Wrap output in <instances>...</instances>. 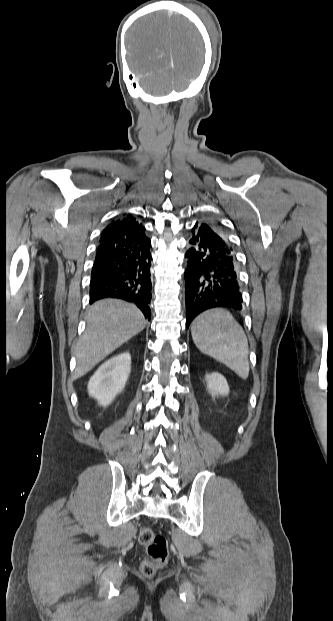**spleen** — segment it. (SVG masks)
Segmentation results:
<instances>
[{
    "mask_svg": "<svg viewBox=\"0 0 333 621\" xmlns=\"http://www.w3.org/2000/svg\"><path fill=\"white\" fill-rule=\"evenodd\" d=\"M191 334L203 354L226 365L240 378H248V340L232 314L221 309L207 310L195 318Z\"/></svg>",
    "mask_w": 333,
    "mask_h": 621,
    "instance_id": "1",
    "label": "spleen"
}]
</instances>
